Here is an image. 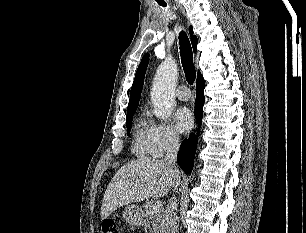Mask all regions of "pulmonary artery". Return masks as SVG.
<instances>
[{
    "label": "pulmonary artery",
    "mask_w": 306,
    "mask_h": 233,
    "mask_svg": "<svg viewBox=\"0 0 306 233\" xmlns=\"http://www.w3.org/2000/svg\"><path fill=\"white\" fill-rule=\"evenodd\" d=\"M175 95L178 99L183 100V101H187L191 97V94L186 85L179 86L175 91Z\"/></svg>",
    "instance_id": "obj_1"
}]
</instances>
